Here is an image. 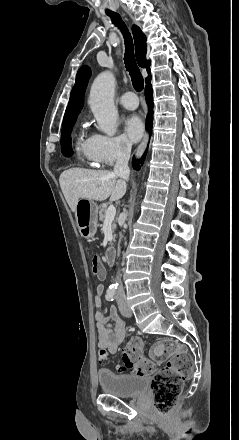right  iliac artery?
Returning <instances> with one entry per match:
<instances>
[{
  "label": "right iliac artery",
  "instance_id": "right-iliac-artery-1",
  "mask_svg": "<svg viewBox=\"0 0 239 440\" xmlns=\"http://www.w3.org/2000/svg\"><path fill=\"white\" fill-rule=\"evenodd\" d=\"M115 290H116V288L113 286H110L108 288L107 293H106V299L108 301H113V299L115 298Z\"/></svg>",
  "mask_w": 239,
  "mask_h": 440
}]
</instances>
